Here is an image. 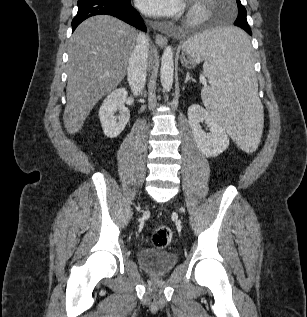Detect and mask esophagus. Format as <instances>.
Listing matches in <instances>:
<instances>
[{
    "mask_svg": "<svg viewBox=\"0 0 307 317\" xmlns=\"http://www.w3.org/2000/svg\"><path fill=\"white\" fill-rule=\"evenodd\" d=\"M155 42L159 47L163 48L164 46H166L168 40L165 36H163L161 34H156L155 35Z\"/></svg>",
    "mask_w": 307,
    "mask_h": 317,
    "instance_id": "obj_1",
    "label": "esophagus"
}]
</instances>
